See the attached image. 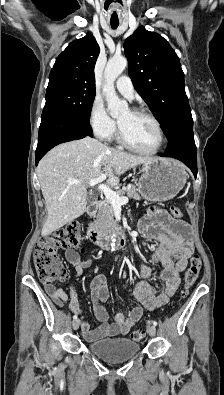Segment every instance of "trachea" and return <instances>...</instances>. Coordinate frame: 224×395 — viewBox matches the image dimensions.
Returning <instances> with one entry per match:
<instances>
[{"instance_id":"obj_1","label":"trachea","mask_w":224,"mask_h":395,"mask_svg":"<svg viewBox=\"0 0 224 395\" xmlns=\"http://www.w3.org/2000/svg\"><path fill=\"white\" fill-rule=\"evenodd\" d=\"M118 25H119V22H111V27L113 29H116L118 27Z\"/></svg>"}]
</instances>
